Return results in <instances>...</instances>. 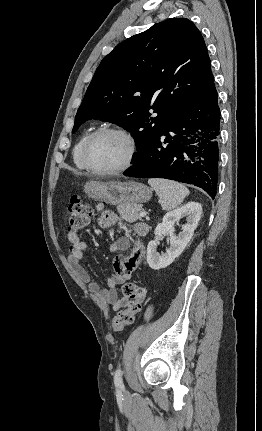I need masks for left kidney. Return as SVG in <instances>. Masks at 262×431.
<instances>
[{
    "instance_id": "1",
    "label": "left kidney",
    "mask_w": 262,
    "mask_h": 431,
    "mask_svg": "<svg viewBox=\"0 0 262 431\" xmlns=\"http://www.w3.org/2000/svg\"><path fill=\"white\" fill-rule=\"evenodd\" d=\"M201 215L202 207L196 202H190L165 214L162 222L155 228L154 234L155 236L169 234L170 247L165 254H159L157 252V241H150L148 243L147 262L152 269L159 270L165 268L181 255L190 242ZM184 217H186V224L182 226V231L178 235H175L174 225Z\"/></svg>"
}]
</instances>
